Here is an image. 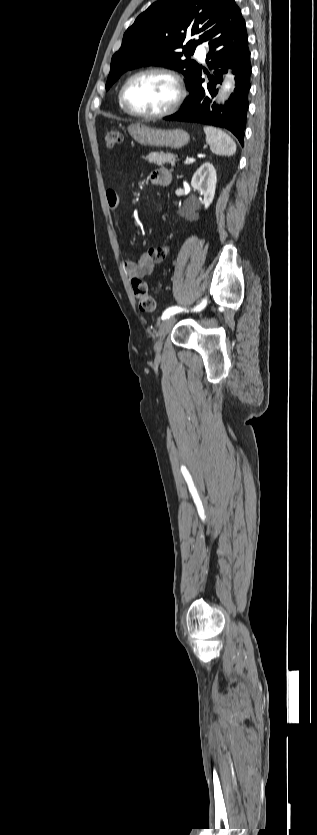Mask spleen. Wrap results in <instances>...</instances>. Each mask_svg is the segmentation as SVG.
I'll return each mask as SVG.
<instances>
[{
    "label": "spleen",
    "mask_w": 317,
    "mask_h": 835,
    "mask_svg": "<svg viewBox=\"0 0 317 835\" xmlns=\"http://www.w3.org/2000/svg\"><path fill=\"white\" fill-rule=\"evenodd\" d=\"M204 133L206 142L214 154L223 156L235 154L236 144L226 132L213 126H205Z\"/></svg>",
    "instance_id": "1"
}]
</instances>
